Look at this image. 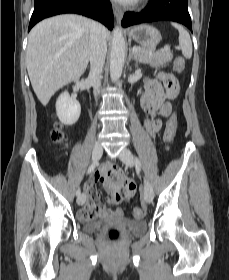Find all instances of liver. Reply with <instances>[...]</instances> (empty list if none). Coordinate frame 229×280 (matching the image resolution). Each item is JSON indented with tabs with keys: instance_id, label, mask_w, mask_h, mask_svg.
<instances>
[{
	"instance_id": "1",
	"label": "liver",
	"mask_w": 229,
	"mask_h": 280,
	"mask_svg": "<svg viewBox=\"0 0 229 280\" xmlns=\"http://www.w3.org/2000/svg\"><path fill=\"white\" fill-rule=\"evenodd\" d=\"M92 22L79 15H59L41 21L30 31L26 66L43 106L60 88L85 72L91 51ZM105 36H110L107 29Z\"/></svg>"
}]
</instances>
